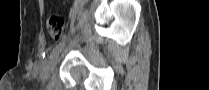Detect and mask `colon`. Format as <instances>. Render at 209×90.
<instances>
[{
	"instance_id": "colon-1",
	"label": "colon",
	"mask_w": 209,
	"mask_h": 90,
	"mask_svg": "<svg viewBox=\"0 0 209 90\" xmlns=\"http://www.w3.org/2000/svg\"><path fill=\"white\" fill-rule=\"evenodd\" d=\"M47 28L50 36L56 40L60 39L65 30V21L59 14L52 13L47 20Z\"/></svg>"
}]
</instances>
